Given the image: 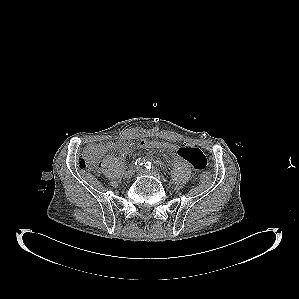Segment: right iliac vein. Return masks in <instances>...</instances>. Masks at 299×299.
<instances>
[{
	"instance_id": "1",
	"label": "right iliac vein",
	"mask_w": 299,
	"mask_h": 299,
	"mask_svg": "<svg viewBox=\"0 0 299 299\" xmlns=\"http://www.w3.org/2000/svg\"><path fill=\"white\" fill-rule=\"evenodd\" d=\"M134 172H135V168L134 166H130L124 173V177L127 179V180H130L133 175H134Z\"/></svg>"
}]
</instances>
